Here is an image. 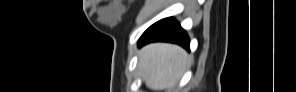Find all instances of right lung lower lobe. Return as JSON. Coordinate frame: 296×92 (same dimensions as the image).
<instances>
[{
	"mask_svg": "<svg viewBox=\"0 0 296 92\" xmlns=\"http://www.w3.org/2000/svg\"><path fill=\"white\" fill-rule=\"evenodd\" d=\"M166 41L177 43L189 50L190 40L185 30L172 17L162 19L150 26L140 37L138 45L149 42Z\"/></svg>",
	"mask_w": 296,
	"mask_h": 92,
	"instance_id": "obj_1",
	"label": "right lung lower lobe"
}]
</instances>
